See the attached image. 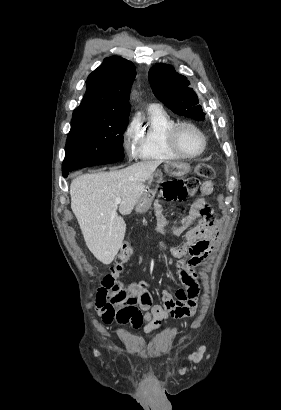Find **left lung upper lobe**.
<instances>
[{"mask_svg":"<svg viewBox=\"0 0 281 410\" xmlns=\"http://www.w3.org/2000/svg\"><path fill=\"white\" fill-rule=\"evenodd\" d=\"M148 77L155 96L173 112L197 121L205 119L198 97L186 77L164 64L152 67Z\"/></svg>","mask_w":281,"mask_h":410,"instance_id":"5c2ea615","label":"left lung upper lobe"}]
</instances>
